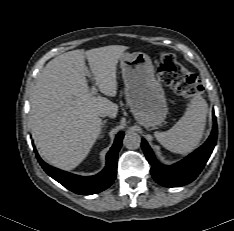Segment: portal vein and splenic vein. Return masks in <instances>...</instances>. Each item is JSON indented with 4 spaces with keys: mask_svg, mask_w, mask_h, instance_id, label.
I'll use <instances>...</instances> for the list:
<instances>
[{
    "mask_svg": "<svg viewBox=\"0 0 234 231\" xmlns=\"http://www.w3.org/2000/svg\"><path fill=\"white\" fill-rule=\"evenodd\" d=\"M91 95H96V93H97V89H96V87L95 86H93L92 88H91Z\"/></svg>",
    "mask_w": 234,
    "mask_h": 231,
    "instance_id": "obj_1",
    "label": "portal vein and splenic vein"
}]
</instances>
